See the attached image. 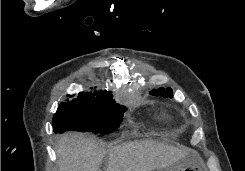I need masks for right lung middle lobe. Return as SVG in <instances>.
Instances as JSON below:
<instances>
[{
  "mask_svg": "<svg viewBox=\"0 0 245 171\" xmlns=\"http://www.w3.org/2000/svg\"><path fill=\"white\" fill-rule=\"evenodd\" d=\"M126 110L112 99L63 102L53 118L54 132L110 134L119 128Z\"/></svg>",
  "mask_w": 245,
  "mask_h": 171,
  "instance_id": "1",
  "label": "right lung middle lobe"
}]
</instances>
